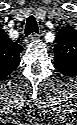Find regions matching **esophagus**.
<instances>
[{"mask_svg": "<svg viewBox=\"0 0 77 125\" xmlns=\"http://www.w3.org/2000/svg\"><path fill=\"white\" fill-rule=\"evenodd\" d=\"M38 37H39L38 33H33V34L28 36V38L25 40V42L29 43L31 41H34V40L38 39Z\"/></svg>", "mask_w": 77, "mask_h": 125, "instance_id": "esophagus-1", "label": "esophagus"}]
</instances>
